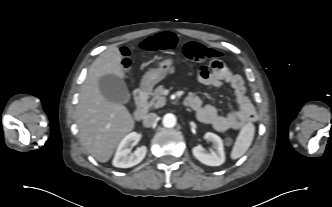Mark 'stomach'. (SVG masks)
Returning <instances> with one entry per match:
<instances>
[{"instance_id": "1", "label": "stomach", "mask_w": 332, "mask_h": 207, "mask_svg": "<svg viewBox=\"0 0 332 207\" xmlns=\"http://www.w3.org/2000/svg\"><path fill=\"white\" fill-rule=\"evenodd\" d=\"M173 70V59L166 58L159 62L158 67L147 71L142 80L141 87L150 90L154 85L163 80Z\"/></svg>"}]
</instances>
